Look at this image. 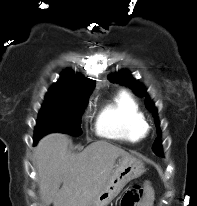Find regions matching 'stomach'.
<instances>
[{"instance_id": "1", "label": "stomach", "mask_w": 197, "mask_h": 206, "mask_svg": "<svg viewBox=\"0 0 197 206\" xmlns=\"http://www.w3.org/2000/svg\"><path fill=\"white\" fill-rule=\"evenodd\" d=\"M144 171L143 163L137 158L130 155L121 156L115 170L88 206H107L127 183L140 177Z\"/></svg>"}]
</instances>
